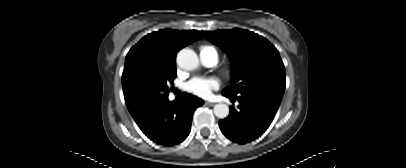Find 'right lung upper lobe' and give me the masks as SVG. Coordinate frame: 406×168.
Here are the masks:
<instances>
[{
	"label": "right lung upper lobe",
	"mask_w": 406,
	"mask_h": 168,
	"mask_svg": "<svg viewBox=\"0 0 406 168\" xmlns=\"http://www.w3.org/2000/svg\"><path fill=\"white\" fill-rule=\"evenodd\" d=\"M200 38H203V35L196 30L164 29L148 34L128 52L123 73L136 63L150 64L160 68L175 67L177 52Z\"/></svg>",
	"instance_id": "cb5924a9"
}]
</instances>
